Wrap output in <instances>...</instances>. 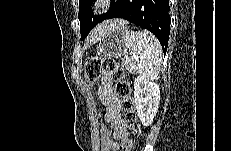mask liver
<instances>
[{
  "label": "liver",
  "instance_id": "1",
  "mask_svg": "<svg viewBox=\"0 0 231 151\" xmlns=\"http://www.w3.org/2000/svg\"><path fill=\"white\" fill-rule=\"evenodd\" d=\"M126 24L127 22L121 19L108 20L103 22L102 24H99L87 38L85 47H89L90 45L99 41L107 31L115 28H122Z\"/></svg>",
  "mask_w": 231,
  "mask_h": 151
}]
</instances>
